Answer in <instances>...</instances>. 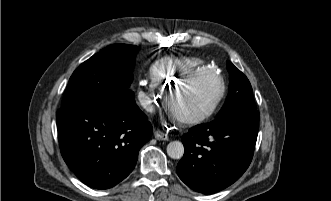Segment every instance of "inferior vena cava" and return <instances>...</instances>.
I'll return each mask as SVG.
<instances>
[{"label":"inferior vena cava","mask_w":331,"mask_h":201,"mask_svg":"<svg viewBox=\"0 0 331 201\" xmlns=\"http://www.w3.org/2000/svg\"><path fill=\"white\" fill-rule=\"evenodd\" d=\"M141 104L143 105V107H145L147 110H152V106H151V100L149 97L144 96L140 99Z\"/></svg>","instance_id":"obj_1"}]
</instances>
